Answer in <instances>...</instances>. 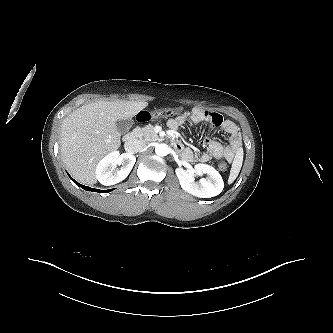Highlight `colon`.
I'll return each mask as SVG.
<instances>
[{
	"label": "colon",
	"mask_w": 333,
	"mask_h": 333,
	"mask_svg": "<svg viewBox=\"0 0 333 333\" xmlns=\"http://www.w3.org/2000/svg\"><path fill=\"white\" fill-rule=\"evenodd\" d=\"M180 112L179 108L174 107H165V108H158V109H145L138 113L137 120L140 122L150 121L152 119L157 118H166L171 117ZM215 167L223 172L226 173L228 170V161L225 158L220 159Z\"/></svg>",
	"instance_id": "1"
}]
</instances>
